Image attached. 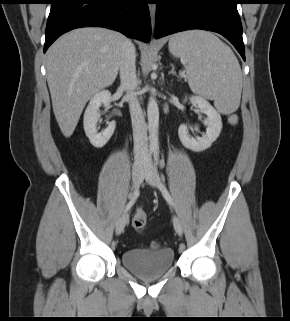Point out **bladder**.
I'll return each instance as SVG.
<instances>
[{
	"instance_id": "31cf9c89",
	"label": "bladder",
	"mask_w": 290,
	"mask_h": 321,
	"mask_svg": "<svg viewBox=\"0 0 290 321\" xmlns=\"http://www.w3.org/2000/svg\"><path fill=\"white\" fill-rule=\"evenodd\" d=\"M174 258L173 250L168 248L131 249L124 251L121 255L123 265L143 278L163 275L172 267Z\"/></svg>"
}]
</instances>
